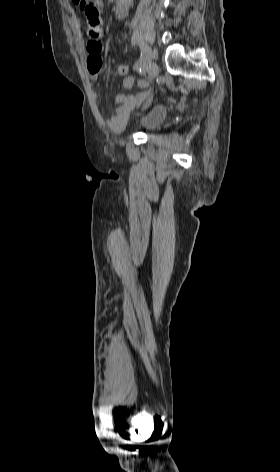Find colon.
<instances>
[{
    "instance_id": "1",
    "label": "colon",
    "mask_w": 280,
    "mask_h": 472,
    "mask_svg": "<svg viewBox=\"0 0 280 472\" xmlns=\"http://www.w3.org/2000/svg\"><path fill=\"white\" fill-rule=\"evenodd\" d=\"M77 5L85 14L88 21H100V1L99 0H71ZM116 71L120 76H126L129 73V68L125 64H119Z\"/></svg>"
}]
</instances>
